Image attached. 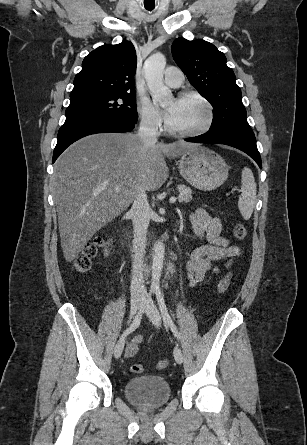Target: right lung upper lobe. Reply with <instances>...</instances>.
Masks as SVG:
<instances>
[{"label":"right lung upper lobe","mask_w":307,"mask_h":445,"mask_svg":"<svg viewBox=\"0 0 307 445\" xmlns=\"http://www.w3.org/2000/svg\"><path fill=\"white\" fill-rule=\"evenodd\" d=\"M136 65L130 41L100 46L84 58L70 97L135 93Z\"/></svg>","instance_id":"right-lung-upper-lobe-1"}]
</instances>
